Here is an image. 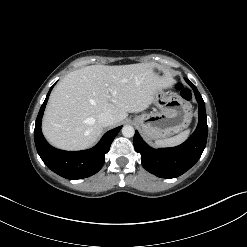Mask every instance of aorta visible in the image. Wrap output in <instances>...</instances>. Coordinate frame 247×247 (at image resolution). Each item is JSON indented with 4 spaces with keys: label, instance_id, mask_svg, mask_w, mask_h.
<instances>
[{
    "label": "aorta",
    "instance_id": "obj_1",
    "mask_svg": "<svg viewBox=\"0 0 247 247\" xmlns=\"http://www.w3.org/2000/svg\"><path fill=\"white\" fill-rule=\"evenodd\" d=\"M122 134L124 137H133L134 134H135V130L134 128L131 126V125H125L123 128H122Z\"/></svg>",
    "mask_w": 247,
    "mask_h": 247
}]
</instances>
